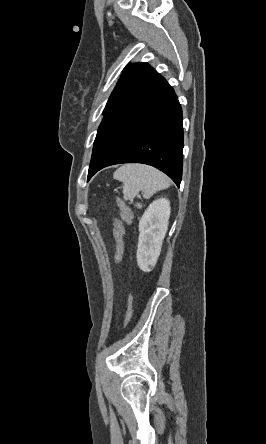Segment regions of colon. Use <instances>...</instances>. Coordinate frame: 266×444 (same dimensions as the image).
<instances>
[{
    "label": "colon",
    "mask_w": 266,
    "mask_h": 444,
    "mask_svg": "<svg viewBox=\"0 0 266 444\" xmlns=\"http://www.w3.org/2000/svg\"><path fill=\"white\" fill-rule=\"evenodd\" d=\"M119 206L121 209L122 220L115 219L113 225V236H114L113 259L115 263H119L121 260L123 253V246H124L125 224L129 225L131 223V218H132L130 209L122 201H119ZM132 310H133V298L132 295L129 294L127 298V306L124 317V326H126L131 319Z\"/></svg>",
    "instance_id": "colon-1"
}]
</instances>
